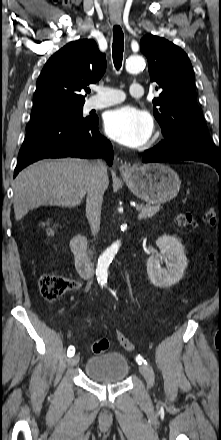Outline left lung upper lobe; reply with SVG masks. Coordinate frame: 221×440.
I'll return each mask as SVG.
<instances>
[{"label":"left lung upper lobe","instance_id":"left-lung-upper-lobe-1","mask_svg":"<svg viewBox=\"0 0 221 440\" xmlns=\"http://www.w3.org/2000/svg\"><path fill=\"white\" fill-rule=\"evenodd\" d=\"M140 50L148 59L149 74L160 92L153 100L154 116L164 141L178 149L200 148L221 153L212 142L196 101L195 76L187 54L172 42L145 35Z\"/></svg>","mask_w":221,"mask_h":440}]
</instances>
